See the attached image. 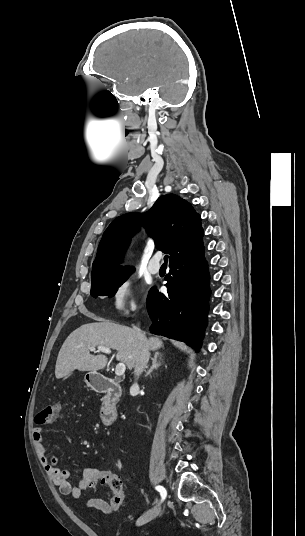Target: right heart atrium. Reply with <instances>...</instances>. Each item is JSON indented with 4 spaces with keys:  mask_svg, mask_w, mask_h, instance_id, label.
<instances>
[{
    "mask_svg": "<svg viewBox=\"0 0 305 536\" xmlns=\"http://www.w3.org/2000/svg\"><path fill=\"white\" fill-rule=\"evenodd\" d=\"M113 308L126 315L137 309V286L131 279L119 283L112 293Z\"/></svg>",
    "mask_w": 305,
    "mask_h": 536,
    "instance_id": "right-heart-atrium-1",
    "label": "right heart atrium"
}]
</instances>
